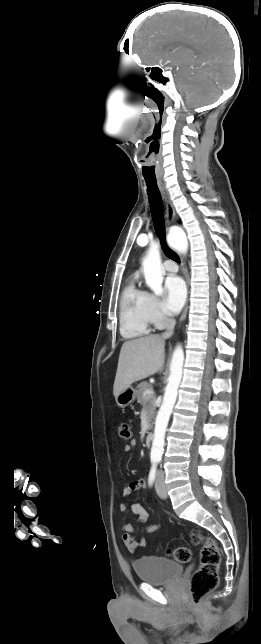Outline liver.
Masks as SVG:
<instances>
[{"mask_svg":"<svg viewBox=\"0 0 261 644\" xmlns=\"http://www.w3.org/2000/svg\"><path fill=\"white\" fill-rule=\"evenodd\" d=\"M165 339L150 335L123 343L113 386L116 397L132 383L161 373L164 367Z\"/></svg>","mask_w":261,"mask_h":644,"instance_id":"obj_1","label":"liver"}]
</instances>
